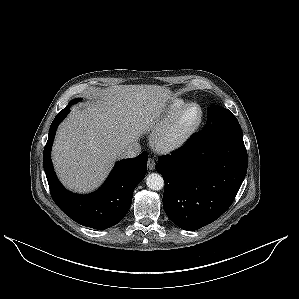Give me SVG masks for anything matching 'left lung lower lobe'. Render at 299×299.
<instances>
[{
  "label": "left lung lower lobe",
  "mask_w": 299,
  "mask_h": 299,
  "mask_svg": "<svg viewBox=\"0 0 299 299\" xmlns=\"http://www.w3.org/2000/svg\"><path fill=\"white\" fill-rule=\"evenodd\" d=\"M163 207L180 228L194 231L215 221L232 204L247 171V151L235 116L228 112L163 156Z\"/></svg>",
  "instance_id": "0a47b994"
}]
</instances>
